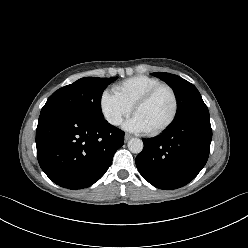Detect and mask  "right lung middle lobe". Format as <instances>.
<instances>
[{
  "label": "right lung middle lobe",
  "instance_id": "obj_1",
  "mask_svg": "<svg viewBox=\"0 0 248 248\" xmlns=\"http://www.w3.org/2000/svg\"><path fill=\"white\" fill-rule=\"evenodd\" d=\"M117 77H84L55 91L41 113L53 109L74 110L94 118H104L100 100L104 89Z\"/></svg>",
  "mask_w": 248,
  "mask_h": 248
}]
</instances>
